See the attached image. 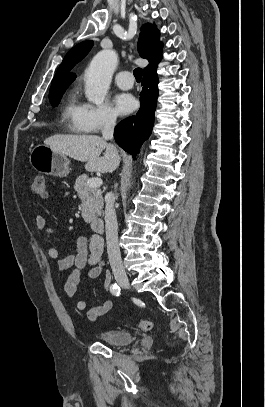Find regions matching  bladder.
I'll return each mask as SVG.
<instances>
[{
	"label": "bladder",
	"instance_id": "1",
	"mask_svg": "<svg viewBox=\"0 0 265 407\" xmlns=\"http://www.w3.org/2000/svg\"><path fill=\"white\" fill-rule=\"evenodd\" d=\"M97 338L109 345H127L133 341V335L126 331L120 329H109L101 331L97 334Z\"/></svg>",
	"mask_w": 265,
	"mask_h": 407
}]
</instances>
